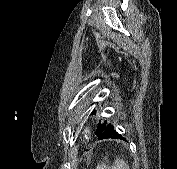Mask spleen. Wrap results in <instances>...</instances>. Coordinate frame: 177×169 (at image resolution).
I'll return each mask as SVG.
<instances>
[{"instance_id":"1","label":"spleen","mask_w":177,"mask_h":169,"mask_svg":"<svg viewBox=\"0 0 177 169\" xmlns=\"http://www.w3.org/2000/svg\"><path fill=\"white\" fill-rule=\"evenodd\" d=\"M96 169H130L126 161L120 157H116L112 166H109L105 163L99 164Z\"/></svg>"}]
</instances>
